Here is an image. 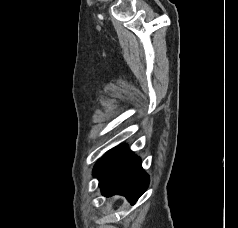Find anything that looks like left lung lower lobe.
Returning a JSON list of instances; mask_svg holds the SVG:
<instances>
[{
	"instance_id": "0a47b994",
	"label": "left lung lower lobe",
	"mask_w": 238,
	"mask_h": 228,
	"mask_svg": "<svg viewBox=\"0 0 238 228\" xmlns=\"http://www.w3.org/2000/svg\"><path fill=\"white\" fill-rule=\"evenodd\" d=\"M94 175L98 177L103 195L118 193L126 196L131 203H135L149 185V176L142 169L140 158L127 145L107 152Z\"/></svg>"
}]
</instances>
